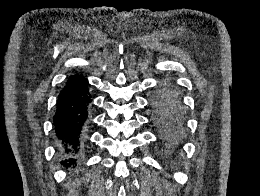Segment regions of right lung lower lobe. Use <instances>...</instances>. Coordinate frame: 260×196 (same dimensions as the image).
Segmentation results:
<instances>
[{
	"label": "right lung lower lobe",
	"mask_w": 260,
	"mask_h": 196,
	"mask_svg": "<svg viewBox=\"0 0 260 196\" xmlns=\"http://www.w3.org/2000/svg\"><path fill=\"white\" fill-rule=\"evenodd\" d=\"M88 80L83 75L68 77L58 96L53 117V133L58 142L61 167L75 170L79 166L80 152L86 143L89 125L88 108L91 94Z\"/></svg>",
	"instance_id": "obj_1"
}]
</instances>
